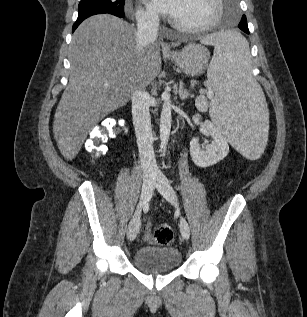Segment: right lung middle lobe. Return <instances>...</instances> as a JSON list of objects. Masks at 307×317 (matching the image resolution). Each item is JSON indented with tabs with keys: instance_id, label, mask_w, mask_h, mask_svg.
Returning <instances> with one entry per match:
<instances>
[{
	"instance_id": "obj_1",
	"label": "right lung middle lobe",
	"mask_w": 307,
	"mask_h": 317,
	"mask_svg": "<svg viewBox=\"0 0 307 317\" xmlns=\"http://www.w3.org/2000/svg\"><path fill=\"white\" fill-rule=\"evenodd\" d=\"M124 2L125 0H81L78 6V15L92 11L120 15L124 13Z\"/></svg>"
}]
</instances>
